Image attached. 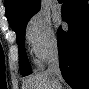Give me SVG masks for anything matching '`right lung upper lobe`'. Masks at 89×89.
Here are the masks:
<instances>
[{
	"mask_svg": "<svg viewBox=\"0 0 89 89\" xmlns=\"http://www.w3.org/2000/svg\"><path fill=\"white\" fill-rule=\"evenodd\" d=\"M6 17L12 28L40 9V0H5Z\"/></svg>",
	"mask_w": 89,
	"mask_h": 89,
	"instance_id": "obj_1",
	"label": "right lung upper lobe"
}]
</instances>
